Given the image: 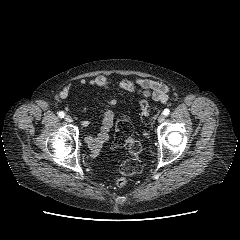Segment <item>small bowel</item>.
I'll return each mask as SVG.
<instances>
[{
    "label": "small bowel",
    "mask_w": 240,
    "mask_h": 240,
    "mask_svg": "<svg viewBox=\"0 0 240 240\" xmlns=\"http://www.w3.org/2000/svg\"><path fill=\"white\" fill-rule=\"evenodd\" d=\"M88 84L89 86L98 88L105 92H111L113 86L109 79L104 75H98L91 79H83L80 81V85ZM117 89L120 91H126L130 93H138L145 97H151L156 101L165 103L169 98V88L160 82L147 79V78H137L136 80L120 79L117 82ZM71 94V86H64L59 92V97L62 99L68 98ZM116 99L108 96L107 103L108 108L104 113L102 125L100 131L97 134L89 135L86 137L85 141L92 151L99 150L102 145L109 139V132L115 121V113L113 111V106L116 104ZM86 108H82L80 112H85ZM84 126H89L91 124L90 120H85L82 122Z\"/></svg>",
    "instance_id": "small-bowel-1"
}]
</instances>
